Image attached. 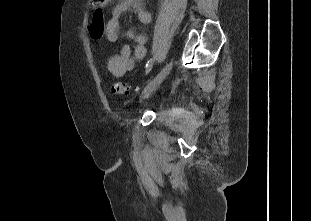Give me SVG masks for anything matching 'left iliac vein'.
<instances>
[{"instance_id": "left-iliac-vein-1", "label": "left iliac vein", "mask_w": 311, "mask_h": 221, "mask_svg": "<svg viewBox=\"0 0 311 221\" xmlns=\"http://www.w3.org/2000/svg\"><path fill=\"white\" fill-rule=\"evenodd\" d=\"M173 66V61L168 62L158 75L150 81L141 94V100L146 99L149 95L165 80Z\"/></svg>"}]
</instances>
